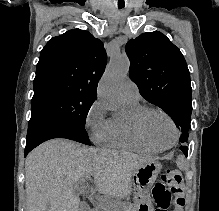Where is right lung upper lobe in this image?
<instances>
[{
  "label": "right lung upper lobe",
  "instance_id": "obj_1",
  "mask_svg": "<svg viewBox=\"0 0 219 211\" xmlns=\"http://www.w3.org/2000/svg\"><path fill=\"white\" fill-rule=\"evenodd\" d=\"M107 55L103 43L90 33L72 29L51 38L42 49L34 79V93L60 87L97 95Z\"/></svg>",
  "mask_w": 219,
  "mask_h": 211
}]
</instances>
